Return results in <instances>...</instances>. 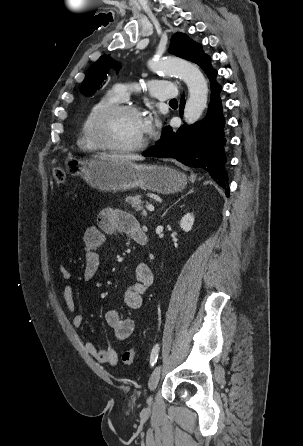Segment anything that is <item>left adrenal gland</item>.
<instances>
[{
  "instance_id": "left-adrenal-gland-1",
  "label": "left adrenal gland",
  "mask_w": 303,
  "mask_h": 446,
  "mask_svg": "<svg viewBox=\"0 0 303 446\" xmlns=\"http://www.w3.org/2000/svg\"><path fill=\"white\" fill-rule=\"evenodd\" d=\"M191 193H193V189H190L189 192H188L186 195L182 196V197L179 198L174 204H172L171 206H169V207L165 210V212L163 213L162 218L165 216V214L168 212V210H169L172 206H174L175 204H177V202H179L182 198H184L185 196H187L188 194H191Z\"/></svg>"
}]
</instances>
